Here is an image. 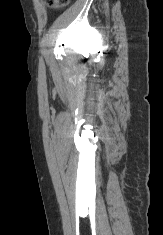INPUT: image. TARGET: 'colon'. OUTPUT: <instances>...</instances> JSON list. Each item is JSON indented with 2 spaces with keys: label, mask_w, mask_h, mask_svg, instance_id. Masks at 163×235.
<instances>
[{
  "label": "colon",
  "mask_w": 163,
  "mask_h": 235,
  "mask_svg": "<svg viewBox=\"0 0 163 235\" xmlns=\"http://www.w3.org/2000/svg\"><path fill=\"white\" fill-rule=\"evenodd\" d=\"M70 0H43L44 4L51 9L64 8Z\"/></svg>",
  "instance_id": "obj_1"
}]
</instances>
